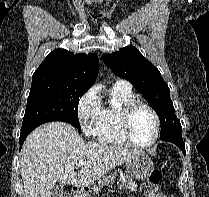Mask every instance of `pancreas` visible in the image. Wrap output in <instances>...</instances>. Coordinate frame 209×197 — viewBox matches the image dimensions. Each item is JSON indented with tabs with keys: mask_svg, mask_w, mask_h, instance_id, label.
<instances>
[{
	"mask_svg": "<svg viewBox=\"0 0 209 197\" xmlns=\"http://www.w3.org/2000/svg\"><path fill=\"white\" fill-rule=\"evenodd\" d=\"M117 174L111 173L108 176H103L102 180L98 181V186H94V193L98 194L104 186H108L110 183H113L116 179ZM119 188H122L129 192H135L137 190V185L130 176L125 175L119 180Z\"/></svg>",
	"mask_w": 209,
	"mask_h": 197,
	"instance_id": "1",
	"label": "pancreas"
}]
</instances>
